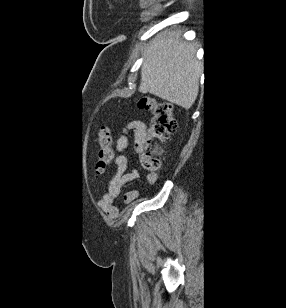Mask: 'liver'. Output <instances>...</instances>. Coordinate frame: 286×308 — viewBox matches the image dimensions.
<instances>
[{
	"instance_id": "6515ba94",
	"label": "liver",
	"mask_w": 286,
	"mask_h": 308,
	"mask_svg": "<svg viewBox=\"0 0 286 308\" xmlns=\"http://www.w3.org/2000/svg\"><path fill=\"white\" fill-rule=\"evenodd\" d=\"M195 52L178 31L157 34L144 54L139 92L189 109L198 96L201 75Z\"/></svg>"
}]
</instances>
